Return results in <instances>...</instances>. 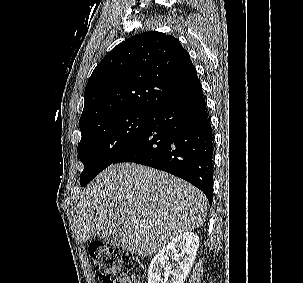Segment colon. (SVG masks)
I'll use <instances>...</instances> for the list:
<instances>
[{
    "instance_id": "1",
    "label": "colon",
    "mask_w": 303,
    "mask_h": 283,
    "mask_svg": "<svg viewBox=\"0 0 303 283\" xmlns=\"http://www.w3.org/2000/svg\"><path fill=\"white\" fill-rule=\"evenodd\" d=\"M88 253L96 274L104 283H133L135 281L137 266L129 256L99 241L89 243Z\"/></svg>"
}]
</instances>
